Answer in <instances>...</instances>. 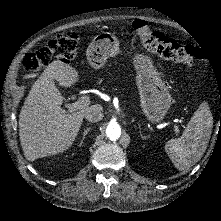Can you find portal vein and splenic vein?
I'll return each mask as SVG.
<instances>
[{
  "mask_svg": "<svg viewBox=\"0 0 221 221\" xmlns=\"http://www.w3.org/2000/svg\"><path fill=\"white\" fill-rule=\"evenodd\" d=\"M90 105V99L88 96L80 97L76 102L72 104H65V107L70 111L74 112L79 109H84ZM174 130L176 133H179V129L177 125H174Z\"/></svg>",
  "mask_w": 221,
  "mask_h": 221,
  "instance_id": "obj_1",
  "label": "portal vein and splenic vein"
}]
</instances>
